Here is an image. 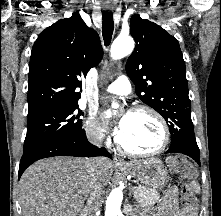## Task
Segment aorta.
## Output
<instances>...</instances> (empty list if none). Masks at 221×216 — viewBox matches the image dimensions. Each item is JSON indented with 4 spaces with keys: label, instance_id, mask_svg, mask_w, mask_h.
<instances>
[{
    "label": "aorta",
    "instance_id": "762f6f07",
    "mask_svg": "<svg viewBox=\"0 0 221 216\" xmlns=\"http://www.w3.org/2000/svg\"><path fill=\"white\" fill-rule=\"evenodd\" d=\"M134 49V40L130 36H118L111 46V57L113 59H122L132 53ZM113 107H117L113 104ZM110 116L111 112L108 111ZM123 200V192L120 188H114L106 200L105 216H118L121 212V204Z\"/></svg>",
    "mask_w": 221,
    "mask_h": 216
}]
</instances>
